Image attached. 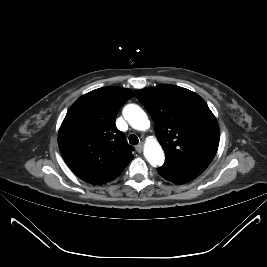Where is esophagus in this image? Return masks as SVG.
I'll list each match as a JSON object with an SVG mask.
<instances>
[{
    "mask_svg": "<svg viewBox=\"0 0 267 267\" xmlns=\"http://www.w3.org/2000/svg\"><path fill=\"white\" fill-rule=\"evenodd\" d=\"M136 150H137L139 153L142 152V150H143V144L141 143V144L137 145V146H136Z\"/></svg>",
    "mask_w": 267,
    "mask_h": 267,
    "instance_id": "1",
    "label": "esophagus"
}]
</instances>
